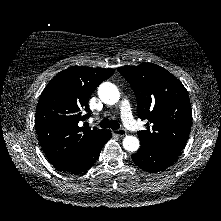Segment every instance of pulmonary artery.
<instances>
[{"label":"pulmonary artery","instance_id":"obj_1","mask_svg":"<svg viewBox=\"0 0 221 221\" xmlns=\"http://www.w3.org/2000/svg\"><path fill=\"white\" fill-rule=\"evenodd\" d=\"M120 110L124 125L132 131L139 130V125L132 116L130 103L127 99L121 101Z\"/></svg>","mask_w":221,"mask_h":221}]
</instances>
